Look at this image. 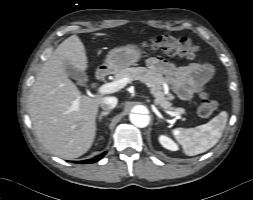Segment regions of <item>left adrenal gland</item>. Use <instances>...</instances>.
I'll return each mask as SVG.
<instances>
[{
  "label": "left adrenal gland",
  "mask_w": 253,
  "mask_h": 200,
  "mask_svg": "<svg viewBox=\"0 0 253 200\" xmlns=\"http://www.w3.org/2000/svg\"><path fill=\"white\" fill-rule=\"evenodd\" d=\"M157 119H158L159 122H162L159 117H157Z\"/></svg>",
  "instance_id": "left-adrenal-gland-1"
}]
</instances>
